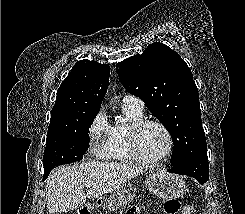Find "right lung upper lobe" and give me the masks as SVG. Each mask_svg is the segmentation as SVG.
I'll return each mask as SVG.
<instances>
[{
  "mask_svg": "<svg viewBox=\"0 0 245 214\" xmlns=\"http://www.w3.org/2000/svg\"><path fill=\"white\" fill-rule=\"evenodd\" d=\"M109 75L107 64L78 61L57 91L47 135L72 127L83 114L99 111Z\"/></svg>",
  "mask_w": 245,
  "mask_h": 214,
  "instance_id": "obj_1",
  "label": "right lung upper lobe"
}]
</instances>
